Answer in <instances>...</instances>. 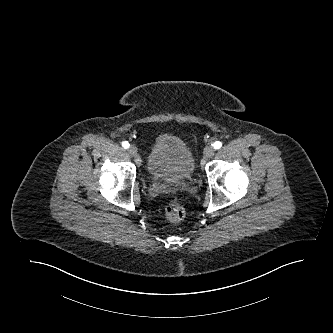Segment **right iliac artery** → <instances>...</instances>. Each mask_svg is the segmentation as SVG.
<instances>
[{
  "mask_svg": "<svg viewBox=\"0 0 333 333\" xmlns=\"http://www.w3.org/2000/svg\"><path fill=\"white\" fill-rule=\"evenodd\" d=\"M129 146H130V144H129L127 141L122 142V147H123L124 149L129 148Z\"/></svg>",
  "mask_w": 333,
  "mask_h": 333,
  "instance_id": "right-iliac-artery-1",
  "label": "right iliac artery"
}]
</instances>
